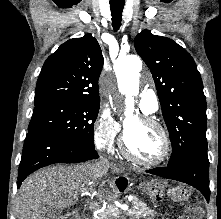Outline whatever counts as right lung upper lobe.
<instances>
[{
  "label": "right lung upper lobe",
  "instance_id": "right-lung-upper-lobe-1",
  "mask_svg": "<svg viewBox=\"0 0 221 219\" xmlns=\"http://www.w3.org/2000/svg\"><path fill=\"white\" fill-rule=\"evenodd\" d=\"M103 56L91 34L63 43L45 61L34 103L46 100L100 102L98 79Z\"/></svg>",
  "mask_w": 221,
  "mask_h": 219
}]
</instances>
